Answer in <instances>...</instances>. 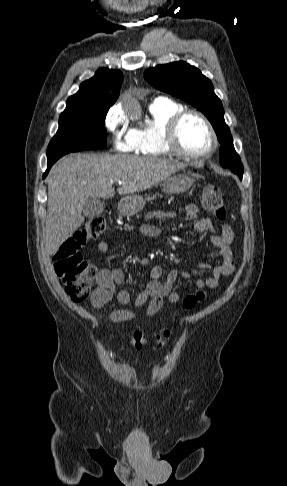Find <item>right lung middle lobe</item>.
Here are the masks:
<instances>
[{
  "label": "right lung middle lobe",
  "instance_id": "right-lung-middle-lobe-1",
  "mask_svg": "<svg viewBox=\"0 0 287 486\" xmlns=\"http://www.w3.org/2000/svg\"><path fill=\"white\" fill-rule=\"evenodd\" d=\"M109 107H66L60 114L58 131L48 145L47 163H54L69 152L104 148L107 144L104 123Z\"/></svg>",
  "mask_w": 287,
  "mask_h": 486
}]
</instances>
